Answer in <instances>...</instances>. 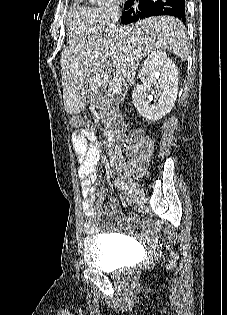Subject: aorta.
<instances>
[{
  "instance_id": "1",
  "label": "aorta",
  "mask_w": 227,
  "mask_h": 315,
  "mask_svg": "<svg viewBox=\"0 0 227 315\" xmlns=\"http://www.w3.org/2000/svg\"><path fill=\"white\" fill-rule=\"evenodd\" d=\"M92 4H101L104 0H88Z\"/></svg>"
}]
</instances>
